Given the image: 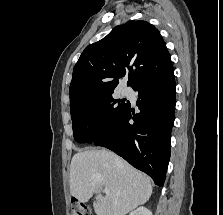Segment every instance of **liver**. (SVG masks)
I'll return each mask as SVG.
<instances>
[{
    "label": "liver",
    "mask_w": 223,
    "mask_h": 215,
    "mask_svg": "<svg viewBox=\"0 0 223 215\" xmlns=\"http://www.w3.org/2000/svg\"><path fill=\"white\" fill-rule=\"evenodd\" d=\"M102 185L109 189L106 195H101ZM70 193L83 203L98 193L93 203L97 215H125L148 201L152 185L148 175L113 151L87 149L71 159Z\"/></svg>",
    "instance_id": "1"
}]
</instances>
